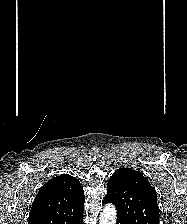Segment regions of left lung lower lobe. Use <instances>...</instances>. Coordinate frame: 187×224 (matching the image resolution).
<instances>
[{
    "label": "left lung lower lobe",
    "instance_id": "left-lung-lower-lobe-1",
    "mask_svg": "<svg viewBox=\"0 0 187 224\" xmlns=\"http://www.w3.org/2000/svg\"><path fill=\"white\" fill-rule=\"evenodd\" d=\"M106 203V202H104ZM116 224H123V222L120 219H117V223Z\"/></svg>",
    "mask_w": 187,
    "mask_h": 224
}]
</instances>
